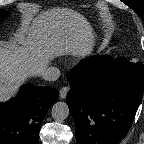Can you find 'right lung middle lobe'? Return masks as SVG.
<instances>
[{
    "instance_id": "right-lung-middle-lobe-1",
    "label": "right lung middle lobe",
    "mask_w": 144,
    "mask_h": 144,
    "mask_svg": "<svg viewBox=\"0 0 144 144\" xmlns=\"http://www.w3.org/2000/svg\"><path fill=\"white\" fill-rule=\"evenodd\" d=\"M8 15V13L7 12H4V11H0V22H1V20L3 19V18H5L6 16Z\"/></svg>"
}]
</instances>
